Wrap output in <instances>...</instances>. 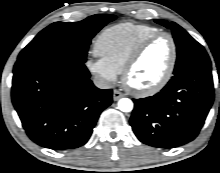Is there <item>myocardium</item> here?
Here are the masks:
<instances>
[{
	"instance_id": "f54148a6",
	"label": "myocardium",
	"mask_w": 220,
	"mask_h": 173,
	"mask_svg": "<svg viewBox=\"0 0 220 173\" xmlns=\"http://www.w3.org/2000/svg\"><path fill=\"white\" fill-rule=\"evenodd\" d=\"M161 37H167L171 44V59L169 66L162 76V78L156 82L154 85L144 88V89H138L133 86H131L128 82V77L134 66L137 64L139 59L141 58L142 54L146 50V48L155 40L161 38ZM177 64V45L175 42L174 37L168 33L159 31L144 40H142L134 49L130 57L128 58L127 62L125 63L123 70H122V82L124 87L130 91L133 95L137 97H149L157 94L160 92L171 80L173 73L175 71V67Z\"/></svg>"
}]
</instances>
